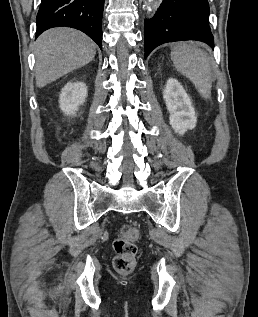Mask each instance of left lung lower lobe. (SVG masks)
I'll return each mask as SVG.
<instances>
[{"label": "left lung lower lobe", "mask_w": 258, "mask_h": 317, "mask_svg": "<svg viewBox=\"0 0 258 317\" xmlns=\"http://www.w3.org/2000/svg\"><path fill=\"white\" fill-rule=\"evenodd\" d=\"M208 0H163L150 21L144 23L145 58L157 46L175 41H202L212 48Z\"/></svg>", "instance_id": "1"}]
</instances>
